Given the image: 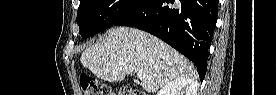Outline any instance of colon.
<instances>
[{"label":"colon","instance_id":"5ec220e1","mask_svg":"<svg viewBox=\"0 0 277 95\" xmlns=\"http://www.w3.org/2000/svg\"><path fill=\"white\" fill-rule=\"evenodd\" d=\"M80 84L87 95H113V91L103 82L90 78L88 76L81 77ZM119 95H143V92L129 87H122Z\"/></svg>","mask_w":277,"mask_h":95}]
</instances>
